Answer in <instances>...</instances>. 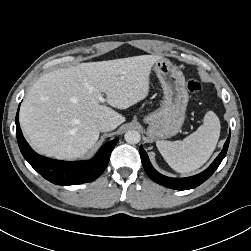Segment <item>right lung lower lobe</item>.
I'll return each mask as SVG.
<instances>
[{
    "label": "right lung lower lobe",
    "instance_id": "1",
    "mask_svg": "<svg viewBox=\"0 0 251 251\" xmlns=\"http://www.w3.org/2000/svg\"><path fill=\"white\" fill-rule=\"evenodd\" d=\"M19 108L16 115V135L20 151L29 164L45 179L57 185H76L98 178L107 167L110 155L118 139L101 147L89 161L67 162L46 158L37 154L23 137L19 126Z\"/></svg>",
    "mask_w": 251,
    "mask_h": 251
}]
</instances>
